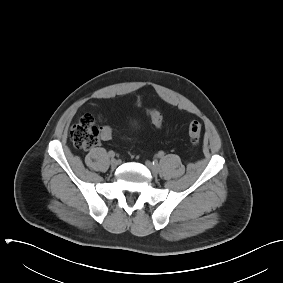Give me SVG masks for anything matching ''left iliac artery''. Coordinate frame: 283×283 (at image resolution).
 Instances as JSON below:
<instances>
[{
    "label": "left iliac artery",
    "mask_w": 283,
    "mask_h": 283,
    "mask_svg": "<svg viewBox=\"0 0 283 283\" xmlns=\"http://www.w3.org/2000/svg\"><path fill=\"white\" fill-rule=\"evenodd\" d=\"M158 157H159V158H163V157H164V152H163V151H160V152L158 153Z\"/></svg>",
    "instance_id": "left-iliac-artery-1"
}]
</instances>
